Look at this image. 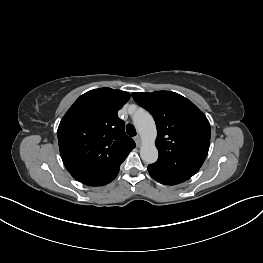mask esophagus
Segmentation results:
<instances>
[{"instance_id": "34e87169", "label": "esophagus", "mask_w": 263, "mask_h": 263, "mask_svg": "<svg viewBox=\"0 0 263 263\" xmlns=\"http://www.w3.org/2000/svg\"><path fill=\"white\" fill-rule=\"evenodd\" d=\"M134 140H135L137 146H139L141 144V138L139 135L135 136Z\"/></svg>"}]
</instances>
